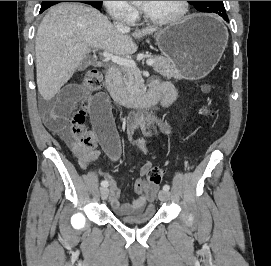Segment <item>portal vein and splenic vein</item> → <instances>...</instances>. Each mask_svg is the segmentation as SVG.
Listing matches in <instances>:
<instances>
[{"instance_id":"portal-vein-and-splenic-vein-1","label":"portal vein and splenic vein","mask_w":271,"mask_h":266,"mask_svg":"<svg viewBox=\"0 0 271 266\" xmlns=\"http://www.w3.org/2000/svg\"><path fill=\"white\" fill-rule=\"evenodd\" d=\"M103 57L107 60L112 61L115 64L121 65V66H126V67H137L136 63L133 60L127 59V58H123L120 56H115L107 51H104L102 53ZM146 64L148 66H153L154 65V61L153 60H147Z\"/></svg>"}]
</instances>
